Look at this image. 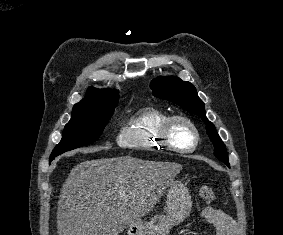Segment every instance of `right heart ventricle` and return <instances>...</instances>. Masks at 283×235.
<instances>
[{
  "instance_id": "1",
  "label": "right heart ventricle",
  "mask_w": 283,
  "mask_h": 235,
  "mask_svg": "<svg viewBox=\"0 0 283 235\" xmlns=\"http://www.w3.org/2000/svg\"><path fill=\"white\" fill-rule=\"evenodd\" d=\"M169 116L167 111L157 106L140 108L121 129L118 139L120 145L144 151L166 149L159 131Z\"/></svg>"
}]
</instances>
